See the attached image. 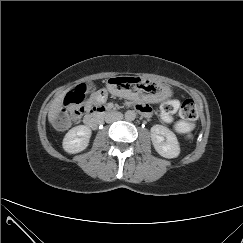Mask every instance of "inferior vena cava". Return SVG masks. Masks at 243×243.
<instances>
[{
  "label": "inferior vena cava",
  "instance_id": "1",
  "mask_svg": "<svg viewBox=\"0 0 243 243\" xmlns=\"http://www.w3.org/2000/svg\"><path fill=\"white\" fill-rule=\"evenodd\" d=\"M122 118H123L122 113H120V112H110V113L106 114L105 121L107 123H112V122L121 120Z\"/></svg>",
  "mask_w": 243,
  "mask_h": 243
}]
</instances>
